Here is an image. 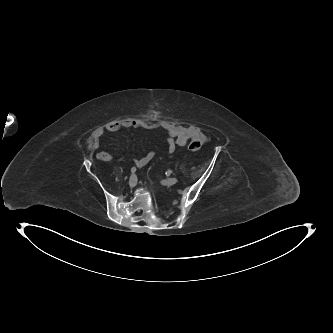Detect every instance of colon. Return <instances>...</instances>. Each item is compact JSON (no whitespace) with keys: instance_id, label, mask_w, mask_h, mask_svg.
Segmentation results:
<instances>
[{"instance_id":"obj_1","label":"colon","mask_w":333,"mask_h":333,"mask_svg":"<svg viewBox=\"0 0 333 333\" xmlns=\"http://www.w3.org/2000/svg\"><path fill=\"white\" fill-rule=\"evenodd\" d=\"M203 145V142L199 139H193L189 143V149L191 151H198Z\"/></svg>"}]
</instances>
